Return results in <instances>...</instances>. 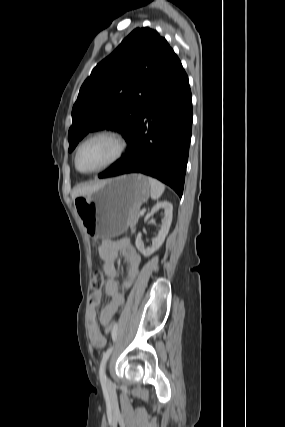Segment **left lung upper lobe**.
Listing matches in <instances>:
<instances>
[{
    "label": "left lung upper lobe",
    "instance_id": "1",
    "mask_svg": "<svg viewBox=\"0 0 285 427\" xmlns=\"http://www.w3.org/2000/svg\"><path fill=\"white\" fill-rule=\"evenodd\" d=\"M172 51L157 31L136 28L102 60L73 106L69 152L90 131L104 128L120 131L127 141Z\"/></svg>",
    "mask_w": 285,
    "mask_h": 427
}]
</instances>
